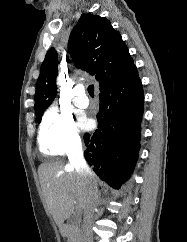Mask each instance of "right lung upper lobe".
<instances>
[{
	"label": "right lung upper lobe",
	"mask_w": 187,
	"mask_h": 242,
	"mask_svg": "<svg viewBox=\"0 0 187 242\" xmlns=\"http://www.w3.org/2000/svg\"><path fill=\"white\" fill-rule=\"evenodd\" d=\"M68 51L75 66L94 75L100 90L124 82L138 73L121 35L110 21L97 15L82 14L70 34ZM58 58L48 50L36 84L35 114H43L56 93Z\"/></svg>",
	"instance_id": "right-lung-upper-lobe-1"
}]
</instances>
